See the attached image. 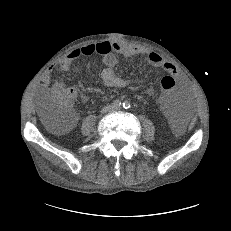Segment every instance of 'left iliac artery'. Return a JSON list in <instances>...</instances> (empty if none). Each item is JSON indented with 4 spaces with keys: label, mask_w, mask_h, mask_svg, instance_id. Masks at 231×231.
Returning a JSON list of instances; mask_svg holds the SVG:
<instances>
[{
    "label": "left iliac artery",
    "mask_w": 231,
    "mask_h": 231,
    "mask_svg": "<svg viewBox=\"0 0 231 231\" xmlns=\"http://www.w3.org/2000/svg\"><path fill=\"white\" fill-rule=\"evenodd\" d=\"M123 107H124L125 109L130 108V107H131L130 102L125 101V102L123 103Z\"/></svg>",
    "instance_id": "1"
}]
</instances>
